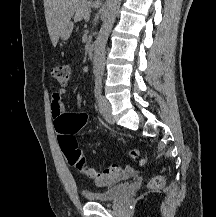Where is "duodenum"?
<instances>
[{
  "label": "duodenum",
  "instance_id": "410a0bca",
  "mask_svg": "<svg viewBox=\"0 0 216 217\" xmlns=\"http://www.w3.org/2000/svg\"><path fill=\"white\" fill-rule=\"evenodd\" d=\"M95 50H96V45L94 42H91L88 46V55H89L90 59H94Z\"/></svg>",
  "mask_w": 216,
  "mask_h": 217
}]
</instances>
